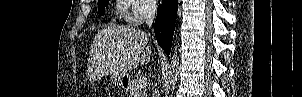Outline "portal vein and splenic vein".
<instances>
[{
	"mask_svg": "<svg viewBox=\"0 0 302 97\" xmlns=\"http://www.w3.org/2000/svg\"><path fill=\"white\" fill-rule=\"evenodd\" d=\"M137 86L141 89H144L147 86V79L145 77H140L137 82Z\"/></svg>",
	"mask_w": 302,
	"mask_h": 97,
	"instance_id": "obj_1",
	"label": "portal vein and splenic vein"
}]
</instances>
